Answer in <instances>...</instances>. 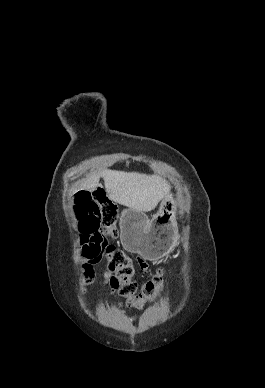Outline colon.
Here are the masks:
<instances>
[{
    "label": "colon",
    "instance_id": "colon-1",
    "mask_svg": "<svg viewBox=\"0 0 265 388\" xmlns=\"http://www.w3.org/2000/svg\"><path fill=\"white\" fill-rule=\"evenodd\" d=\"M74 208L79 221L81 256L86 280L93 277V265L105 259L112 273V284L131 307L139 308L155 300L164 287V273L159 270L138 291L134 281L135 266L129 256L110 243L116 236V206L102 188L81 191Z\"/></svg>",
    "mask_w": 265,
    "mask_h": 388
}]
</instances>
